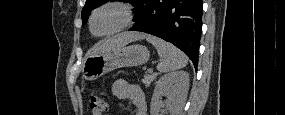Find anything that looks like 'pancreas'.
<instances>
[{
  "instance_id": "obj_1",
  "label": "pancreas",
  "mask_w": 285,
  "mask_h": 115,
  "mask_svg": "<svg viewBox=\"0 0 285 115\" xmlns=\"http://www.w3.org/2000/svg\"><path fill=\"white\" fill-rule=\"evenodd\" d=\"M158 76V73L153 74H145L142 79V83L145 84L146 87H149L153 80Z\"/></svg>"
}]
</instances>
